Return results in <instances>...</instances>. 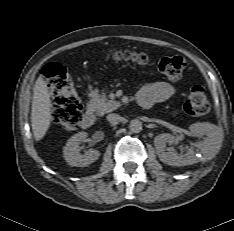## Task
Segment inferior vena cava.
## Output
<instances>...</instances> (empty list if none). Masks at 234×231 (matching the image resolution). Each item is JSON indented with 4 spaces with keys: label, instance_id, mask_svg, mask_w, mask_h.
<instances>
[{
    "label": "inferior vena cava",
    "instance_id": "1",
    "mask_svg": "<svg viewBox=\"0 0 234 231\" xmlns=\"http://www.w3.org/2000/svg\"><path fill=\"white\" fill-rule=\"evenodd\" d=\"M119 119H120V115H118V114L111 113V114H108V115H107V120H108L110 123H115V122H117Z\"/></svg>",
    "mask_w": 234,
    "mask_h": 231
}]
</instances>
